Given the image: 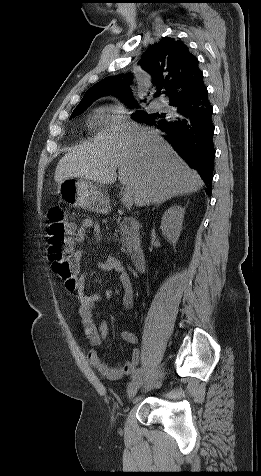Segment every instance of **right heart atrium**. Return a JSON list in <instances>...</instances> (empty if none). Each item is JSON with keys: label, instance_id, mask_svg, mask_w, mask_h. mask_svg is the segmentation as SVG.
<instances>
[{"label": "right heart atrium", "instance_id": "1", "mask_svg": "<svg viewBox=\"0 0 261 476\" xmlns=\"http://www.w3.org/2000/svg\"><path fill=\"white\" fill-rule=\"evenodd\" d=\"M108 121L111 124H121L130 119L131 111L123 105H110L106 108Z\"/></svg>", "mask_w": 261, "mask_h": 476}]
</instances>
